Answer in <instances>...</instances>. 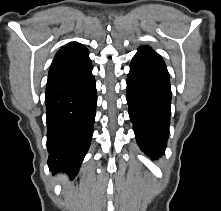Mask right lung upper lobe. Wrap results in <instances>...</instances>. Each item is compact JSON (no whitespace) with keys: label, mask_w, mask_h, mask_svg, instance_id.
<instances>
[{"label":"right lung upper lobe","mask_w":221,"mask_h":211,"mask_svg":"<svg viewBox=\"0 0 221 211\" xmlns=\"http://www.w3.org/2000/svg\"><path fill=\"white\" fill-rule=\"evenodd\" d=\"M90 63L87 48L78 42H70L55 55L50 66L48 79L77 71Z\"/></svg>","instance_id":"cb5924a9"}]
</instances>
